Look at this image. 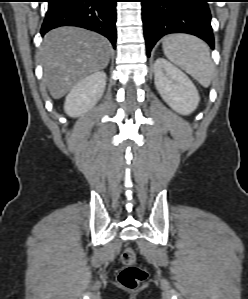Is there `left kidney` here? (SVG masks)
I'll return each instance as SVG.
<instances>
[{
  "label": "left kidney",
  "instance_id": "obj_1",
  "mask_svg": "<svg viewBox=\"0 0 248 299\" xmlns=\"http://www.w3.org/2000/svg\"><path fill=\"white\" fill-rule=\"evenodd\" d=\"M155 86L163 100L177 113H192L200 101L195 85L189 77L166 59L154 64Z\"/></svg>",
  "mask_w": 248,
  "mask_h": 299
}]
</instances>
